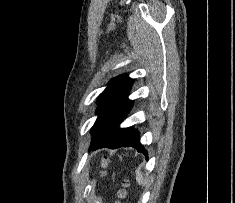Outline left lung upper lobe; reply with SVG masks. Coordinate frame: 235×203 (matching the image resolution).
Listing matches in <instances>:
<instances>
[{
    "label": "left lung upper lobe",
    "mask_w": 235,
    "mask_h": 203,
    "mask_svg": "<svg viewBox=\"0 0 235 203\" xmlns=\"http://www.w3.org/2000/svg\"><path fill=\"white\" fill-rule=\"evenodd\" d=\"M132 83L133 80L127 75H120L112 79L99 95L98 118L92 128V143L106 130L128 101L127 96Z\"/></svg>",
    "instance_id": "obj_1"
}]
</instances>
